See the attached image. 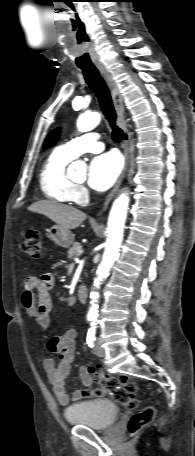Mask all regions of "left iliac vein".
<instances>
[{
  "label": "left iliac vein",
  "mask_w": 195,
  "mask_h": 456,
  "mask_svg": "<svg viewBox=\"0 0 195 456\" xmlns=\"http://www.w3.org/2000/svg\"><path fill=\"white\" fill-rule=\"evenodd\" d=\"M94 353L99 357L105 356V350L101 347L99 342H97L94 346Z\"/></svg>",
  "instance_id": "1"
}]
</instances>
